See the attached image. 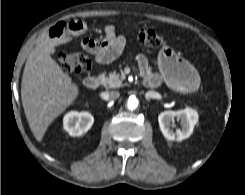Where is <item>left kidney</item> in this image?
Instances as JSON below:
<instances>
[{
    "mask_svg": "<svg viewBox=\"0 0 245 195\" xmlns=\"http://www.w3.org/2000/svg\"><path fill=\"white\" fill-rule=\"evenodd\" d=\"M178 118L182 122V128L174 131L170 127L171 121ZM198 121V114L195 110L186 108L178 111H165L159 114L158 122L164 137L171 141H181L188 138Z\"/></svg>",
    "mask_w": 245,
    "mask_h": 195,
    "instance_id": "5707ae66",
    "label": "left kidney"
}]
</instances>
